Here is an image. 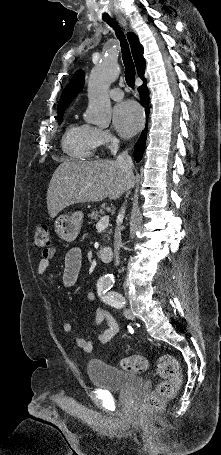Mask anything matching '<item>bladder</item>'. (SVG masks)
Listing matches in <instances>:
<instances>
[{
  "label": "bladder",
  "instance_id": "1",
  "mask_svg": "<svg viewBox=\"0 0 221 455\" xmlns=\"http://www.w3.org/2000/svg\"><path fill=\"white\" fill-rule=\"evenodd\" d=\"M87 373L93 385L113 392H129L142 388L144 379L124 372L115 366L88 361Z\"/></svg>",
  "mask_w": 221,
  "mask_h": 455
}]
</instances>
